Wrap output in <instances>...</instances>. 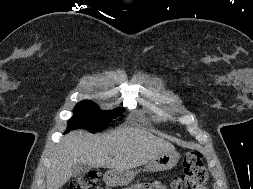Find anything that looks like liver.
Returning a JSON list of instances; mask_svg holds the SVG:
<instances>
[{
  "label": "liver",
  "instance_id": "6515ba94",
  "mask_svg": "<svg viewBox=\"0 0 253 189\" xmlns=\"http://www.w3.org/2000/svg\"><path fill=\"white\" fill-rule=\"evenodd\" d=\"M174 150L170 142L138 127H123L102 136L72 131L51 154L46 186L47 189L61 188L71 178L73 165L77 163L125 171L146 164L162 152Z\"/></svg>",
  "mask_w": 253,
  "mask_h": 189
}]
</instances>
